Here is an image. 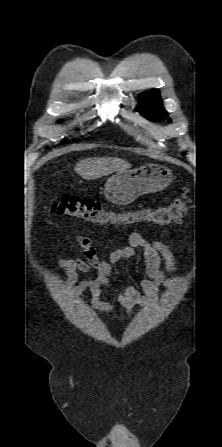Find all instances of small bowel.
I'll return each instance as SVG.
<instances>
[{
    "label": "small bowel",
    "mask_w": 222,
    "mask_h": 447,
    "mask_svg": "<svg viewBox=\"0 0 222 447\" xmlns=\"http://www.w3.org/2000/svg\"><path fill=\"white\" fill-rule=\"evenodd\" d=\"M166 235V233H164ZM129 246L111 251L105 258H100L97 249L87 236H77L76 242L83 250L85 259L60 258L58 264L67 273L68 288L73 294L89 290L94 309L112 314L114 309L102 300L103 292L111 290V277L119 274L118 264L135 256V249L142 248L147 278L141 282V291L133 284H127L120 290H111L114 298L130 314L135 306L147 305L156 301L161 286L170 287L176 281L171 274L175 271L176 260L171 249L161 241L146 240L141 234L132 232L129 235ZM164 260V268L161 266ZM78 272L90 273L95 277L78 280Z\"/></svg>",
    "instance_id": "small-bowel-1"
}]
</instances>
